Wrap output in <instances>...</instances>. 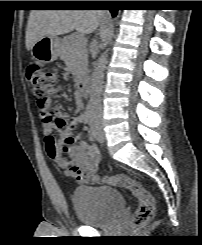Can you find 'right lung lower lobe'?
Instances as JSON below:
<instances>
[{
	"instance_id": "right-lung-lower-lobe-1",
	"label": "right lung lower lobe",
	"mask_w": 202,
	"mask_h": 245,
	"mask_svg": "<svg viewBox=\"0 0 202 245\" xmlns=\"http://www.w3.org/2000/svg\"><path fill=\"white\" fill-rule=\"evenodd\" d=\"M105 6H107V7H109L110 9V12L112 13V16L113 17H115L116 16V14H117V9H116V7H115V5L114 4H112V3H108V4H105Z\"/></svg>"
}]
</instances>
